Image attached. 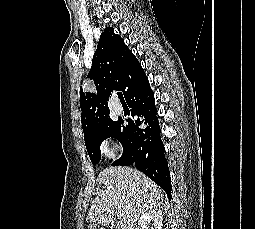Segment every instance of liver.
I'll return each instance as SVG.
<instances>
[{
  "label": "liver",
  "mask_w": 255,
  "mask_h": 229,
  "mask_svg": "<svg viewBox=\"0 0 255 229\" xmlns=\"http://www.w3.org/2000/svg\"><path fill=\"white\" fill-rule=\"evenodd\" d=\"M102 189L91 204L87 222L134 229L135 223L147 210L158 208L163 202L162 189L145 174L129 167H110L97 179ZM124 212L118 216V211ZM117 214L119 221L113 222Z\"/></svg>",
  "instance_id": "liver-1"
}]
</instances>
